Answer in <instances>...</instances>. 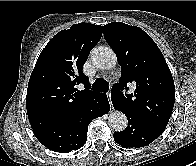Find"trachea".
<instances>
[{
    "instance_id": "1",
    "label": "trachea",
    "mask_w": 196,
    "mask_h": 166,
    "mask_svg": "<svg viewBox=\"0 0 196 166\" xmlns=\"http://www.w3.org/2000/svg\"><path fill=\"white\" fill-rule=\"evenodd\" d=\"M92 90L107 92L109 90L108 82L103 78H97L92 85Z\"/></svg>"
}]
</instances>
